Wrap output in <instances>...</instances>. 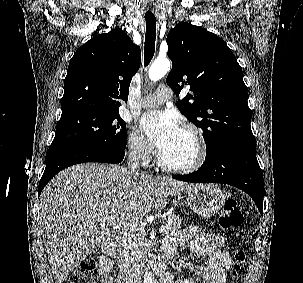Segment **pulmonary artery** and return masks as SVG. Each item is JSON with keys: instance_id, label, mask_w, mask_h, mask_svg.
<instances>
[{"instance_id": "1", "label": "pulmonary artery", "mask_w": 303, "mask_h": 283, "mask_svg": "<svg viewBox=\"0 0 303 283\" xmlns=\"http://www.w3.org/2000/svg\"><path fill=\"white\" fill-rule=\"evenodd\" d=\"M173 92L168 86H159L157 90L147 95L140 103L141 107H154L172 99Z\"/></svg>"}]
</instances>
